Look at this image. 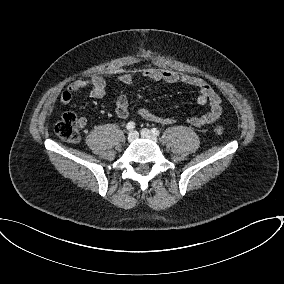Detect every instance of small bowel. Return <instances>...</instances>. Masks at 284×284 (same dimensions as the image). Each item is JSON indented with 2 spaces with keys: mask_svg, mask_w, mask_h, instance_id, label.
Segmentation results:
<instances>
[{
  "mask_svg": "<svg viewBox=\"0 0 284 284\" xmlns=\"http://www.w3.org/2000/svg\"><path fill=\"white\" fill-rule=\"evenodd\" d=\"M142 75L148 79L163 81L166 83H177L183 86L197 89V103L201 106H208L209 110L199 116H191L188 118V123L194 127H200L205 124H211L217 121L222 115V99L217 92L202 78L188 74H180L171 70H163L156 68H145ZM116 77L124 84H130L133 80L130 72L120 70ZM108 88V79L102 75H91L86 78L78 79L64 90L60 96V102L63 106H69L73 96L82 94L86 89H89L88 95L92 99L103 98ZM116 114L118 118L125 120L129 115L128 98L125 95H120L116 99ZM139 116L150 122H156L162 125H170L174 120L169 117H164L155 114L149 108L142 107L138 110ZM79 125L84 127L87 124L85 117L79 118Z\"/></svg>",
  "mask_w": 284,
  "mask_h": 284,
  "instance_id": "small-bowel-1",
  "label": "small bowel"
}]
</instances>
